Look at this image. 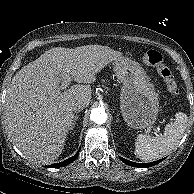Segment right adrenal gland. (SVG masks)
<instances>
[{
    "label": "right adrenal gland",
    "instance_id": "2a0ac1e0",
    "mask_svg": "<svg viewBox=\"0 0 194 194\" xmlns=\"http://www.w3.org/2000/svg\"><path fill=\"white\" fill-rule=\"evenodd\" d=\"M77 119H78V116H77V115H75V117H74V121H73L72 126L70 127V130H73V129H74V127H75V125H76V122H77Z\"/></svg>",
    "mask_w": 194,
    "mask_h": 194
}]
</instances>
